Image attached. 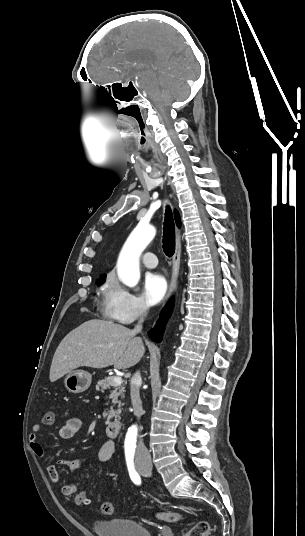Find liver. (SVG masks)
I'll list each match as a JSON object with an SVG mask.
<instances>
[{
  "mask_svg": "<svg viewBox=\"0 0 305 536\" xmlns=\"http://www.w3.org/2000/svg\"><path fill=\"white\" fill-rule=\"evenodd\" d=\"M145 348L141 338L133 332L103 320H89L69 332L59 344L50 368V382H56L65 374L80 366L126 370L138 364Z\"/></svg>",
  "mask_w": 305,
  "mask_h": 536,
  "instance_id": "6515ba94",
  "label": "liver"
}]
</instances>
